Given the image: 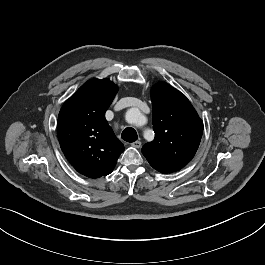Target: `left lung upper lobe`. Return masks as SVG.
<instances>
[{
	"label": "left lung upper lobe",
	"mask_w": 265,
	"mask_h": 265,
	"mask_svg": "<svg viewBox=\"0 0 265 265\" xmlns=\"http://www.w3.org/2000/svg\"><path fill=\"white\" fill-rule=\"evenodd\" d=\"M155 138L142 153L160 173L180 170L194 157L203 132V122L189 100L167 83L151 90Z\"/></svg>",
	"instance_id": "left-lung-upper-lobe-1"
}]
</instances>
